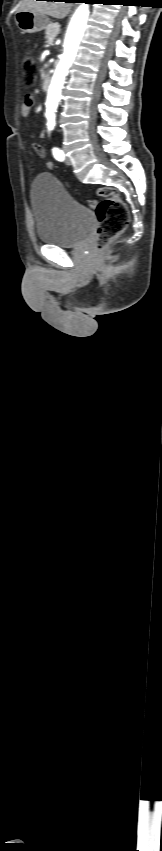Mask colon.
<instances>
[{
  "mask_svg": "<svg viewBox=\"0 0 162 851\" xmlns=\"http://www.w3.org/2000/svg\"><path fill=\"white\" fill-rule=\"evenodd\" d=\"M23 70L25 84L27 86L33 85L38 67L30 53L24 55ZM97 194L102 200H92L89 204L95 210L98 218L95 248L102 250L113 238L126 229L130 216L126 204L119 197L115 188L101 187L97 190Z\"/></svg>",
  "mask_w": 162,
  "mask_h": 851,
  "instance_id": "5ec220e1",
  "label": "colon"
}]
</instances>
